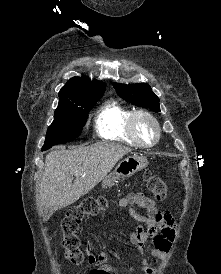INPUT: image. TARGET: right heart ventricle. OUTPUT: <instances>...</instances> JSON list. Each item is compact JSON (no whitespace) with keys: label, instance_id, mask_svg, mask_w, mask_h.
Instances as JSON below:
<instances>
[{"label":"right heart ventricle","instance_id":"right-heart-ventricle-1","mask_svg":"<svg viewBox=\"0 0 221 274\" xmlns=\"http://www.w3.org/2000/svg\"><path fill=\"white\" fill-rule=\"evenodd\" d=\"M134 111L118 101L104 103L94 119L97 134L107 140L139 146L129 131V120Z\"/></svg>","mask_w":221,"mask_h":274}]
</instances>
